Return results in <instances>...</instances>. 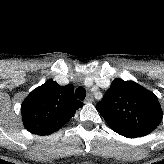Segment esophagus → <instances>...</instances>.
<instances>
[{
  "instance_id": "esophagus-1",
  "label": "esophagus",
  "mask_w": 164,
  "mask_h": 164,
  "mask_svg": "<svg viewBox=\"0 0 164 164\" xmlns=\"http://www.w3.org/2000/svg\"><path fill=\"white\" fill-rule=\"evenodd\" d=\"M93 101H94V98H93L92 94H88V96L85 99V102L86 103H91Z\"/></svg>"
}]
</instances>
